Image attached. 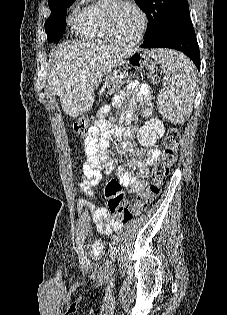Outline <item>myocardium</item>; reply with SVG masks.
<instances>
[{"label":"myocardium","instance_id":"1","mask_svg":"<svg viewBox=\"0 0 227 315\" xmlns=\"http://www.w3.org/2000/svg\"><path fill=\"white\" fill-rule=\"evenodd\" d=\"M123 4L133 7L138 12V14L140 15L141 20H142L141 28H140L138 36L129 42H123L120 39H118L116 32H115V29H114L115 12H116L117 8ZM148 23H149V19H148L146 12L134 0H109L105 6V10H104L105 29H106V32L108 33L109 37L111 38V41L114 43L128 46V47L138 45L142 41V39L144 38V35H145L147 27H148Z\"/></svg>","mask_w":227,"mask_h":315}]
</instances>
